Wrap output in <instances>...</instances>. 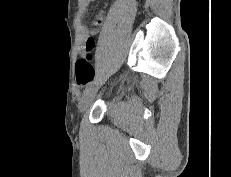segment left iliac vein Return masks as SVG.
Instances as JSON below:
<instances>
[{
    "instance_id": "left-iliac-vein-1",
    "label": "left iliac vein",
    "mask_w": 231,
    "mask_h": 177,
    "mask_svg": "<svg viewBox=\"0 0 231 177\" xmlns=\"http://www.w3.org/2000/svg\"><path fill=\"white\" fill-rule=\"evenodd\" d=\"M97 91H98V87L93 86L84 92L79 102L80 113H84L87 110V108L93 102L97 94Z\"/></svg>"
}]
</instances>
